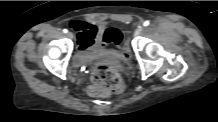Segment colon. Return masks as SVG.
I'll list each match as a JSON object with an SVG mask.
<instances>
[{
  "label": "colon",
  "instance_id": "obj_1",
  "mask_svg": "<svg viewBox=\"0 0 218 122\" xmlns=\"http://www.w3.org/2000/svg\"><path fill=\"white\" fill-rule=\"evenodd\" d=\"M126 38V33L121 27H106L102 31L101 46L103 49L115 52L119 50ZM128 56L129 49L125 47ZM92 85L89 92L92 95H105L119 93L124 89V83L119 73L106 64H98L91 74Z\"/></svg>",
  "mask_w": 218,
  "mask_h": 122
}]
</instances>
